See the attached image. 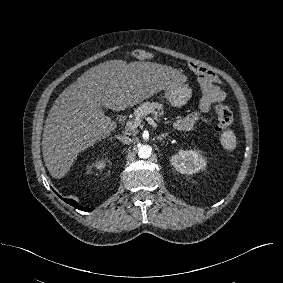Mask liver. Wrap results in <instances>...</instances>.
Listing matches in <instances>:
<instances>
[{"mask_svg": "<svg viewBox=\"0 0 283 283\" xmlns=\"http://www.w3.org/2000/svg\"><path fill=\"white\" fill-rule=\"evenodd\" d=\"M180 80L179 71L153 62L110 60L84 72L55 100L44 124L42 152L51 176L64 177L80 152L117 128L102 107L125 110Z\"/></svg>", "mask_w": 283, "mask_h": 283, "instance_id": "1", "label": "liver"}]
</instances>
